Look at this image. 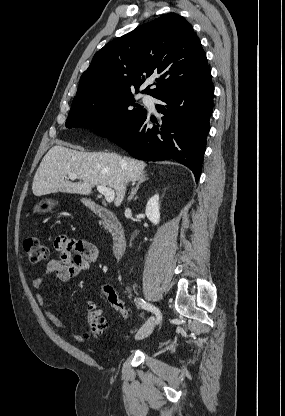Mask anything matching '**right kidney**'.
I'll return each instance as SVG.
<instances>
[{"label": "right kidney", "instance_id": "obj_1", "mask_svg": "<svg viewBox=\"0 0 285 416\" xmlns=\"http://www.w3.org/2000/svg\"><path fill=\"white\" fill-rule=\"evenodd\" d=\"M145 214H146L148 220H150V222H152V224H155V226H157V224H159V222H160V212H159V196H158V194H155V196H152V198H150V200H148L146 210H145Z\"/></svg>", "mask_w": 285, "mask_h": 416}]
</instances>
